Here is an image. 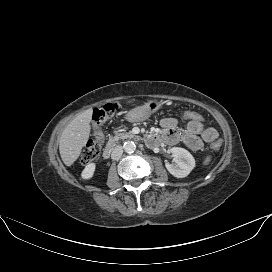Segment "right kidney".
<instances>
[{"label":"right kidney","instance_id":"1","mask_svg":"<svg viewBox=\"0 0 272 272\" xmlns=\"http://www.w3.org/2000/svg\"><path fill=\"white\" fill-rule=\"evenodd\" d=\"M96 164L95 163H90L86 165L84 170L81 173V177L84 180H89L93 177L94 172H95Z\"/></svg>","mask_w":272,"mask_h":272}]
</instances>
